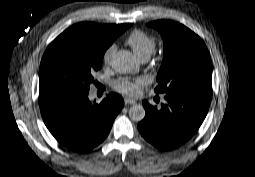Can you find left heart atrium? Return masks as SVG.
Segmentation results:
<instances>
[{"label": "left heart atrium", "instance_id": "1", "mask_svg": "<svg viewBox=\"0 0 255 177\" xmlns=\"http://www.w3.org/2000/svg\"><path fill=\"white\" fill-rule=\"evenodd\" d=\"M142 84V81L138 78H119L113 82V88L123 94L134 96L139 93V86Z\"/></svg>", "mask_w": 255, "mask_h": 177}]
</instances>
